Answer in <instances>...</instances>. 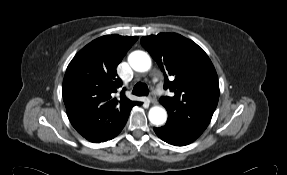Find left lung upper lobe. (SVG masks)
<instances>
[{"instance_id": "left-lung-upper-lobe-1", "label": "left lung upper lobe", "mask_w": 287, "mask_h": 175, "mask_svg": "<svg viewBox=\"0 0 287 175\" xmlns=\"http://www.w3.org/2000/svg\"><path fill=\"white\" fill-rule=\"evenodd\" d=\"M141 44L163 71L164 88L173 93L159 100L168 112L167 123L197 139L219 100L211 60L196 43L176 33L143 36Z\"/></svg>"}]
</instances>
